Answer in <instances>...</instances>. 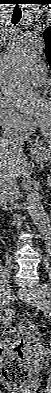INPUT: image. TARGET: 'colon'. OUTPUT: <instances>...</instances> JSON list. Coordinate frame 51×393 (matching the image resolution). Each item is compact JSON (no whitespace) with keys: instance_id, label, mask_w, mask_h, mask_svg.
<instances>
[{"instance_id":"5ec220e1","label":"colon","mask_w":51,"mask_h":393,"mask_svg":"<svg viewBox=\"0 0 51 393\" xmlns=\"http://www.w3.org/2000/svg\"><path fill=\"white\" fill-rule=\"evenodd\" d=\"M32 335L36 343L42 342V336L35 326L26 319L19 320L15 326L5 328L1 333V354L3 376L15 387H22L31 378L23 353L24 337Z\"/></svg>"}]
</instances>
